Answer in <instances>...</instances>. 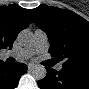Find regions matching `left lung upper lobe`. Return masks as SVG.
I'll return each mask as SVG.
<instances>
[{
  "mask_svg": "<svg viewBox=\"0 0 89 89\" xmlns=\"http://www.w3.org/2000/svg\"><path fill=\"white\" fill-rule=\"evenodd\" d=\"M37 26L46 32L53 59L63 67L89 72V23L69 10L41 5L31 10Z\"/></svg>",
  "mask_w": 89,
  "mask_h": 89,
  "instance_id": "obj_1",
  "label": "left lung upper lobe"
}]
</instances>
